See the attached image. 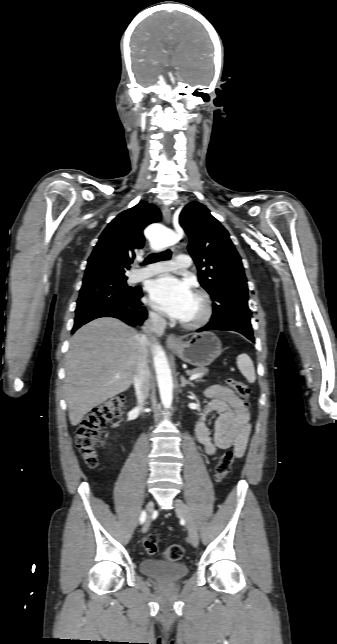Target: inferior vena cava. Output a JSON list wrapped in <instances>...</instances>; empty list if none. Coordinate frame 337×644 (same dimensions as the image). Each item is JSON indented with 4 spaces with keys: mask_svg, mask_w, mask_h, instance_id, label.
I'll list each match as a JSON object with an SVG mask.
<instances>
[{
    "mask_svg": "<svg viewBox=\"0 0 337 644\" xmlns=\"http://www.w3.org/2000/svg\"><path fill=\"white\" fill-rule=\"evenodd\" d=\"M148 325L151 326L152 330L163 333L166 321L165 319L156 313H150V319ZM146 327H144V330ZM140 344L142 347L141 354L138 358L137 370L133 379L136 396L138 400L139 408L142 407L145 400L149 395L150 390V371L147 362V345L148 339L145 334L140 336Z\"/></svg>",
    "mask_w": 337,
    "mask_h": 644,
    "instance_id": "inferior-vena-cava-1",
    "label": "inferior vena cava"
}]
</instances>
